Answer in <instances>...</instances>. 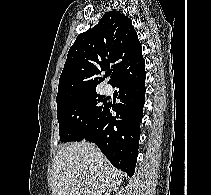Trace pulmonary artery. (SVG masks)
<instances>
[{
    "mask_svg": "<svg viewBox=\"0 0 211 195\" xmlns=\"http://www.w3.org/2000/svg\"><path fill=\"white\" fill-rule=\"evenodd\" d=\"M105 91L106 92H110L111 91V86L110 85H106L105 86Z\"/></svg>",
    "mask_w": 211,
    "mask_h": 195,
    "instance_id": "pulmonary-artery-1",
    "label": "pulmonary artery"
}]
</instances>
